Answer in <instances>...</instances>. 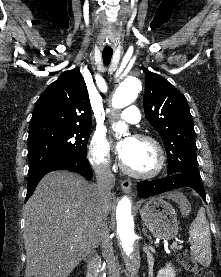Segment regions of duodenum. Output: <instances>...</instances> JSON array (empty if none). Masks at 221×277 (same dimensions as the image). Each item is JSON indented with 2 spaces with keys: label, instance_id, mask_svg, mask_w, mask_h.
Masks as SVG:
<instances>
[{
  "label": "duodenum",
  "instance_id": "obj_1",
  "mask_svg": "<svg viewBox=\"0 0 221 277\" xmlns=\"http://www.w3.org/2000/svg\"><path fill=\"white\" fill-rule=\"evenodd\" d=\"M100 265V257L99 256H93L90 258V260L87 262L84 277H96L97 271Z\"/></svg>",
  "mask_w": 221,
  "mask_h": 277
}]
</instances>
